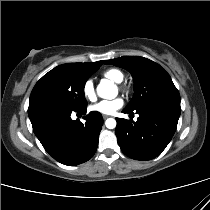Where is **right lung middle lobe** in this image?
Instances as JSON below:
<instances>
[{"mask_svg": "<svg viewBox=\"0 0 210 210\" xmlns=\"http://www.w3.org/2000/svg\"><path fill=\"white\" fill-rule=\"evenodd\" d=\"M100 66L91 64L84 68H74L63 64L46 73L31 92L29 117L52 108L79 110L87 107L84 86Z\"/></svg>", "mask_w": 210, "mask_h": 210, "instance_id": "obj_1", "label": "right lung middle lobe"}]
</instances>
